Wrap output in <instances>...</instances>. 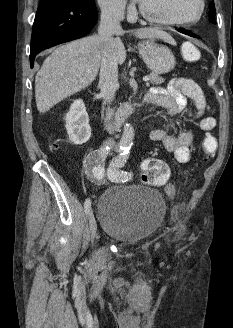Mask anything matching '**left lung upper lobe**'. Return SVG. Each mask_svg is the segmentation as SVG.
I'll list each match as a JSON object with an SVG mask.
<instances>
[{"label":"left lung upper lobe","mask_w":233,"mask_h":328,"mask_svg":"<svg viewBox=\"0 0 233 328\" xmlns=\"http://www.w3.org/2000/svg\"><path fill=\"white\" fill-rule=\"evenodd\" d=\"M215 5L214 2L212 1L209 5V19L213 24H216L215 22Z\"/></svg>","instance_id":"1"}]
</instances>
